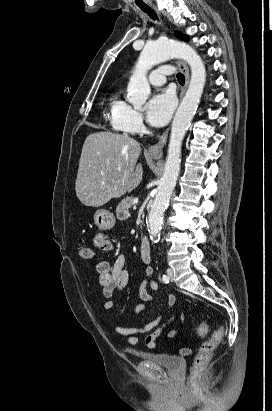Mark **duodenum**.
<instances>
[{"label":"duodenum","mask_w":272,"mask_h":411,"mask_svg":"<svg viewBox=\"0 0 272 411\" xmlns=\"http://www.w3.org/2000/svg\"><path fill=\"white\" fill-rule=\"evenodd\" d=\"M140 252L143 261L150 263L152 260V252L150 242L146 237H143L141 240Z\"/></svg>","instance_id":"obj_1"}]
</instances>
